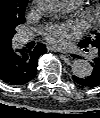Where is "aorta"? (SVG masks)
Masks as SVG:
<instances>
[{"mask_svg":"<svg viewBox=\"0 0 100 118\" xmlns=\"http://www.w3.org/2000/svg\"><path fill=\"white\" fill-rule=\"evenodd\" d=\"M37 5L40 10L50 15L57 14L62 9L61 0H37ZM71 67L73 74L79 78L87 77L92 73V66L84 59L74 60Z\"/></svg>","mask_w":100,"mask_h":118,"instance_id":"762f6f07","label":"aorta"}]
</instances>
